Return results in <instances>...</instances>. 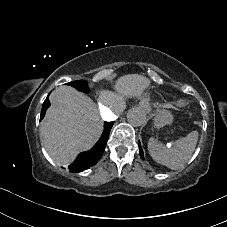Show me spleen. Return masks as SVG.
<instances>
[{"instance_id": "spleen-1", "label": "spleen", "mask_w": 227, "mask_h": 227, "mask_svg": "<svg viewBox=\"0 0 227 227\" xmlns=\"http://www.w3.org/2000/svg\"><path fill=\"white\" fill-rule=\"evenodd\" d=\"M197 139L198 133L192 131L168 147L163 142L157 141L156 136L152 135L148 140V152L157 164L177 170L183 167L190 158L196 147Z\"/></svg>"}]
</instances>
